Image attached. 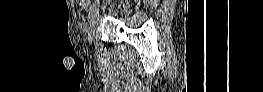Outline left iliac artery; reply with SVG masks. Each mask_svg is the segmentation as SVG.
I'll list each match as a JSON object with an SVG mask.
<instances>
[{
  "label": "left iliac artery",
  "mask_w": 263,
  "mask_h": 92,
  "mask_svg": "<svg viewBox=\"0 0 263 92\" xmlns=\"http://www.w3.org/2000/svg\"><path fill=\"white\" fill-rule=\"evenodd\" d=\"M97 5L98 2L97 1H92L91 2V6H90V16L89 20H92V16H96L97 15Z\"/></svg>",
  "instance_id": "44dca946"
}]
</instances>
